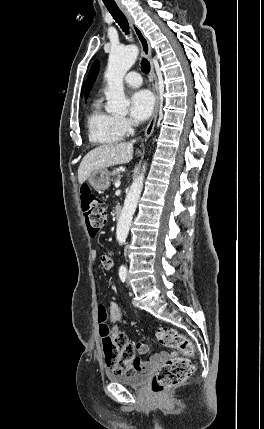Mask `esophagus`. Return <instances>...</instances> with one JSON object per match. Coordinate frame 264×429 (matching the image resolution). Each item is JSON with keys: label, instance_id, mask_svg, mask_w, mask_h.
I'll list each match as a JSON object with an SVG mask.
<instances>
[{"label": "esophagus", "instance_id": "34e87169", "mask_svg": "<svg viewBox=\"0 0 264 429\" xmlns=\"http://www.w3.org/2000/svg\"><path fill=\"white\" fill-rule=\"evenodd\" d=\"M118 7L124 13L126 18L128 19V21L132 27V30H133L137 40L140 43L143 56H145L147 59L151 60V46H150L148 39L143 34V32L139 28V26L136 24L134 18L132 17V15L128 11V9L121 3L118 4ZM150 78H151V83H152L153 94L155 97V106H154V111H153L152 117H151V119H150V121H149V123L145 129V133H144L145 139L149 138L154 131V127H155L157 116H158L159 102H160L159 88H158V83H157V79H156L155 71H154V66H153L152 62H151Z\"/></svg>", "mask_w": 264, "mask_h": 429}]
</instances>
